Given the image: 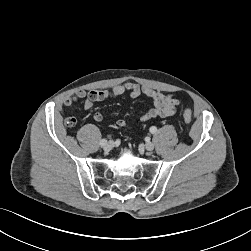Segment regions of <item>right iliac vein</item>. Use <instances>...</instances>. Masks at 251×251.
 <instances>
[{
  "label": "right iliac vein",
  "instance_id": "1",
  "mask_svg": "<svg viewBox=\"0 0 251 251\" xmlns=\"http://www.w3.org/2000/svg\"><path fill=\"white\" fill-rule=\"evenodd\" d=\"M113 147H114V143H113L112 141H110V142H108V143L104 146V150L108 152V151L112 150Z\"/></svg>",
  "mask_w": 251,
  "mask_h": 251
}]
</instances>
